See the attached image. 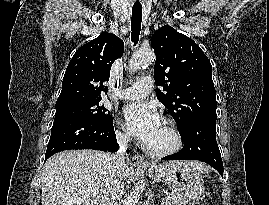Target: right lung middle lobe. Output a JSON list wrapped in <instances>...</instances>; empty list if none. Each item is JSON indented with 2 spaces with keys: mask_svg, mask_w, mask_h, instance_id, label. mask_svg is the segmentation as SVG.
Returning a JSON list of instances; mask_svg holds the SVG:
<instances>
[{
  "mask_svg": "<svg viewBox=\"0 0 269 205\" xmlns=\"http://www.w3.org/2000/svg\"><path fill=\"white\" fill-rule=\"evenodd\" d=\"M100 100L68 104L56 108L55 119L64 118H82L93 120L100 123H109L112 121L110 113L103 105L99 104Z\"/></svg>",
  "mask_w": 269,
  "mask_h": 205,
  "instance_id": "dd1d6c3e",
  "label": "right lung middle lobe"
}]
</instances>
